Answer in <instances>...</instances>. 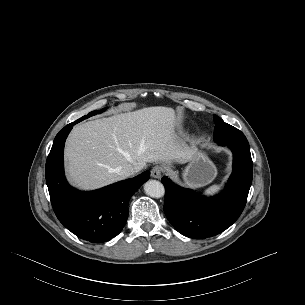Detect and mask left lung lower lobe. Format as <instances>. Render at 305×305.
<instances>
[{
    "instance_id": "0a47b994",
    "label": "left lung lower lobe",
    "mask_w": 305,
    "mask_h": 305,
    "mask_svg": "<svg viewBox=\"0 0 305 305\" xmlns=\"http://www.w3.org/2000/svg\"><path fill=\"white\" fill-rule=\"evenodd\" d=\"M233 152V172L225 189L214 198H202L164 176V212L175 229L184 236L204 239L230 227L242 213L252 183L253 162L250 147L222 144Z\"/></svg>"
}]
</instances>
